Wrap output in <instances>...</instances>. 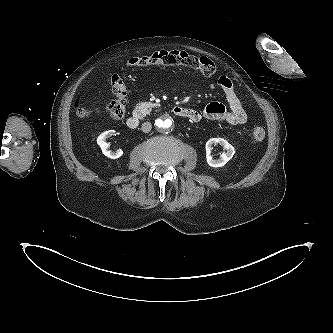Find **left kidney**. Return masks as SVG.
Wrapping results in <instances>:
<instances>
[{
	"label": "left kidney",
	"instance_id": "obj_1",
	"mask_svg": "<svg viewBox=\"0 0 333 333\" xmlns=\"http://www.w3.org/2000/svg\"><path fill=\"white\" fill-rule=\"evenodd\" d=\"M215 144H220L224 150H226L225 153L221 154L220 159H213L210 155L211 147ZM234 154V147L223 138H211L206 143V161L210 167L217 168L224 166L230 159H232Z\"/></svg>",
	"mask_w": 333,
	"mask_h": 333
}]
</instances>
